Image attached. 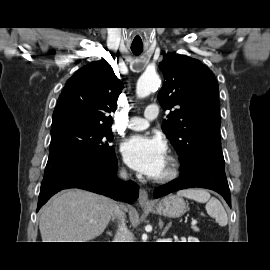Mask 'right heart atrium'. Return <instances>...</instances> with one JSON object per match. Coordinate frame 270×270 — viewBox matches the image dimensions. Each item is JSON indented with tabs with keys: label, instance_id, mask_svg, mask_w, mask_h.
I'll use <instances>...</instances> for the list:
<instances>
[{
	"label": "right heart atrium",
	"instance_id": "obj_1",
	"mask_svg": "<svg viewBox=\"0 0 270 270\" xmlns=\"http://www.w3.org/2000/svg\"><path fill=\"white\" fill-rule=\"evenodd\" d=\"M120 173L124 176L128 175V170L125 166L120 167Z\"/></svg>",
	"mask_w": 270,
	"mask_h": 270
}]
</instances>
